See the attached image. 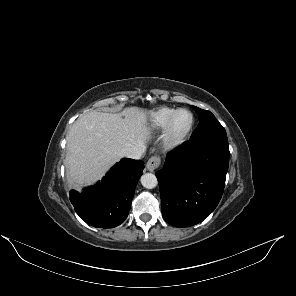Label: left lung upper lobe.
Listing matches in <instances>:
<instances>
[{
	"label": "left lung upper lobe",
	"mask_w": 296,
	"mask_h": 296,
	"mask_svg": "<svg viewBox=\"0 0 296 296\" xmlns=\"http://www.w3.org/2000/svg\"><path fill=\"white\" fill-rule=\"evenodd\" d=\"M199 116V124L190 137L191 141L218 135H226L224 127L215 116L207 110L192 106Z\"/></svg>",
	"instance_id": "obj_1"
}]
</instances>
